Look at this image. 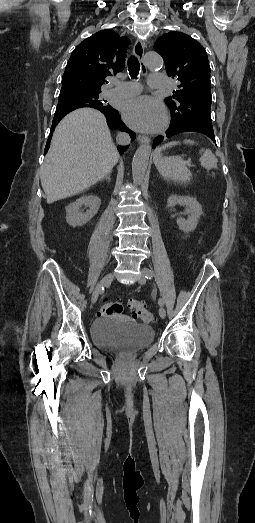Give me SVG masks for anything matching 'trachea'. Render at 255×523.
<instances>
[{"label": "trachea", "mask_w": 255, "mask_h": 523, "mask_svg": "<svg viewBox=\"0 0 255 523\" xmlns=\"http://www.w3.org/2000/svg\"><path fill=\"white\" fill-rule=\"evenodd\" d=\"M127 64H128V71H129L130 77L136 78L139 73V69H140V64H139L137 58L134 57L133 55H131V57L128 59Z\"/></svg>", "instance_id": "1"}]
</instances>
